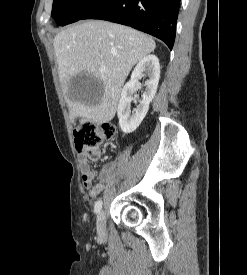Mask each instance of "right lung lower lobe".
<instances>
[{
    "instance_id": "obj_1",
    "label": "right lung lower lobe",
    "mask_w": 247,
    "mask_h": 275,
    "mask_svg": "<svg viewBox=\"0 0 247 275\" xmlns=\"http://www.w3.org/2000/svg\"><path fill=\"white\" fill-rule=\"evenodd\" d=\"M180 0H101L81 19L107 20L151 34L172 49Z\"/></svg>"
}]
</instances>
